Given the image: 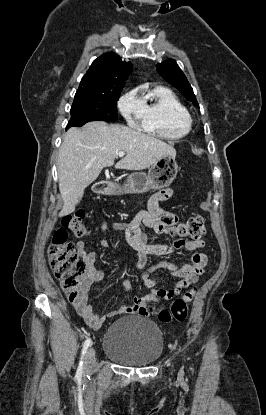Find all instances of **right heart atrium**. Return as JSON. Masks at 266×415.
<instances>
[{"mask_svg":"<svg viewBox=\"0 0 266 415\" xmlns=\"http://www.w3.org/2000/svg\"><path fill=\"white\" fill-rule=\"evenodd\" d=\"M118 108L130 125H136L142 118L143 105L136 90H131L124 94L118 102Z\"/></svg>","mask_w":266,"mask_h":415,"instance_id":"d8ad5b80","label":"right heart atrium"}]
</instances>
